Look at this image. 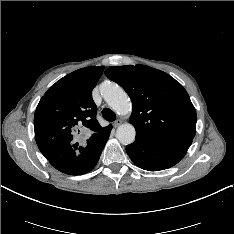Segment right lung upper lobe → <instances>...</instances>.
I'll use <instances>...</instances> for the list:
<instances>
[{"label":"right lung upper lobe","mask_w":234,"mask_h":234,"mask_svg":"<svg viewBox=\"0 0 234 234\" xmlns=\"http://www.w3.org/2000/svg\"><path fill=\"white\" fill-rule=\"evenodd\" d=\"M103 66L86 67L61 78L51 86L34 115L35 139L41 153L50 162L75 158L110 126L101 127L92 99ZM87 133L90 136L83 140Z\"/></svg>","instance_id":"right-lung-upper-lobe-1"}]
</instances>
